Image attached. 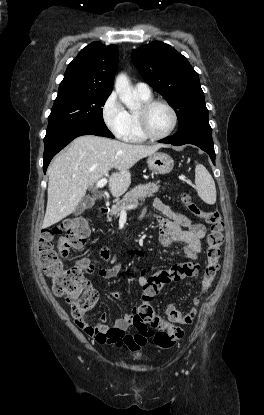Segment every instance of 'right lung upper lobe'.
<instances>
[{
	"label": "right lung upper lobe",
	"mask_w": 264,
	"mask_h": 415,
	"mask_svg": "<svg viewBox=\"0 0 264 415\" xmlns=\"http://www.w3.org/2000/svg\"><path fill=\"white\" fill-rule=\"evenodd\" d=\"M118 64L116 45L93 42L71 61L58 89L64 94H110Z\"/></svg>",
	"instance_id": "1"
}]
</instances>
